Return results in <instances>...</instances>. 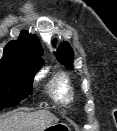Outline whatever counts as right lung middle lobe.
I'll use <instances>...</instances> for the list:
<instances>
[{
	"label": "right lung middle lobe",
	"mask_w": 117,
	"mask_h": 131,
	"mask_svg": "<svg viewBox=\"0 0 117 131\" xmlns=\"http://www.w3.org/2000/svg\"><path fill=\"white\" fill-rule=\"evenodd\" d=\"M33 76L22 67L0 69V110L18 105L32 94Z\"/></svg>",
	"instance_id": "right-lung-middle-lobe-1"
}]
</instances>
